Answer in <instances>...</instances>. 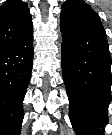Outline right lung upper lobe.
<instances>
[{
	"mask_svg": "<svg viewBox=\"0 0 112 135\" xmlns=\"http://www.w3.org/2000/svg\"><path fill=\"white\" fill-rule=\"evenodd\" d=\"M27 3L7 0L0 7V50L24 37L33 28Z\"/></svg>",
	"mask_w": 112,
	"mask_h": 135,
	"instance_id": "1",
	"label": "right lung upper lobe"
}]
</instances>
